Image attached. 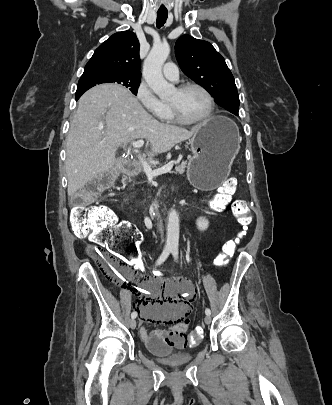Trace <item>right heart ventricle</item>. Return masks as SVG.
Returning <instances> with one entry per match:
<instances>
[{
    "label": "right heart ventricle",
    "mask_w": 332,
    "mask_h": 405,
    "mask_svg": "<svg viewBox=\"0 0 332 405\" xmlns=\"http://www.w3.org/2000/svg\"><path fill=\"white\" fill-rule=\"evenodd\" d=\"M162 119L165 120V121H168V122H173V121H175V119H174V117H173V115H172V113H171V110H170V108H169L168 105H166V110H165L164 115L162 116Z\"/></svg>",
    "instance_id": "obj_1"
}]
</instances>
